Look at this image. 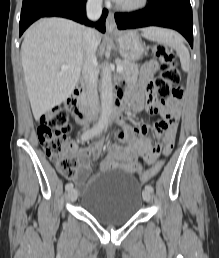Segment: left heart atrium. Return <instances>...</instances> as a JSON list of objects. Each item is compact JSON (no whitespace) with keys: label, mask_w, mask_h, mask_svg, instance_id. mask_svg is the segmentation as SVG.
<instances>
[{"label":"left heart atrium","mask_w":219,"mask_h":258,"mask_svg":"<svg viewBox=\"0 0 219 258\" xmlns=\"http://www.w3.org/2000/svg\"><path fill=\"white\" fill-rule=\"evenodd\" d=\"M113 1H115V2H120L121 0H113Z\"/></svg>","instance_id":"39dd6f15"}]
</instances>
